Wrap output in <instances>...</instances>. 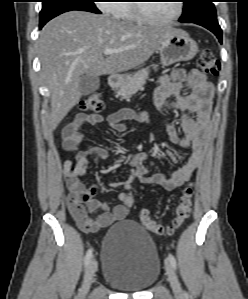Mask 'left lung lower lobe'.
Masks as SVG:
<instances>
[{"mask_svg":"<svg viewBox=\"0 0 248 299\" xmlns=\"http://www.w3.org/2000/svg\"><path fill=\"white\" fill-rule=\"evenodd\" d=\"M195 24L201 25L207 28L208 30H210L211 32H213L218 38V40L220 41V43H222V30L217 20H202V21H198Z\"/></svg>","mask_w":248,"mask_h":299,"instance_id":"1","label":"left lung lower lobe"}]
</instances>
